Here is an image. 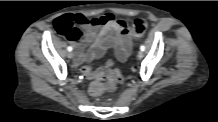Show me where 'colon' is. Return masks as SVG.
<instances>
[{
    "mask_svg": "<svg viewBox=\"0 0 218 122\" xmlns=\"http://www.w3.org/2000/svg\"><path fill=\"white\" fill-rule=\"evenodd\" d=\"M148 26V22L145 19H136L133 24L134 37H140L144 34ZM56 30L65 35L69 40H78L81 37V30L75 26V19L70 15L59 17L55 21ZM103 67L96 69L94 62H84L78 66V73L86 75L91 79L89 92L92 95H98L103 90L109 93L114 92L117 83H126L132 81V75L126 74L122 76L117 68V63L113 60L111 55H105L103 57ZM104 83L106 86H104Z\"/></svg>",
    "mask_w": 218,
    "mask_h": 122,
    "instance_id": "5ec220e1",
    "label": "colon"
}]
</instances>
